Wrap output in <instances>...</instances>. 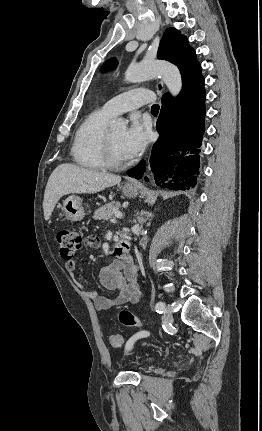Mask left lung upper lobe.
Segmentation results:
<instances>
[{
    "label": "left lung upper lobe",
    "mask_w": 262,
    "mask_h": 431,
    "mask_svg": "<svg viewBox=\"0 0 262 431\" xmlns=\"http://www.w3.org/2000/svg\"><path fill=\"white\" fill-rule=\"evenodd\" d=\"M157 57L178 66L182 75L183 88L189 87L203 78L195 51L189 46L187 39L175 28H168L165 31ZM115 65L116 61H108L103 68L109 69Z\"/></svg>",
    "instance_id": "1"
}]
</instances>
